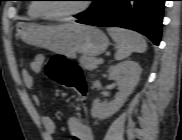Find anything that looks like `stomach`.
Masks as SVG:
<instances>
[{
	"label": "stomach",
	"mask_w": 182,
	"mask_h": 140,
	"mask_svg": "<svg viewBox=\"0 0 182 140\" xmlns=\"http://www.w3.org/2000/svg\"><path fill=\"white\" fill-rule=\"evenodd\" d=\"M17 34L26 43L67 56L81 53L95 57L109 45L107 36L99 28L88 25L42 26L20 22L17 24Z\"/></svg>",
	"instance_id": "1"
}]
</instances>
